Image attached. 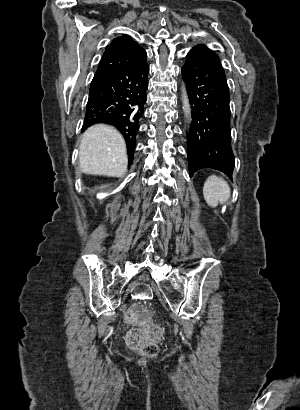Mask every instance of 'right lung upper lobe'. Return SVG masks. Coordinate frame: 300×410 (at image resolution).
<instances>
[{
  "mask_svg": "<svg viewBox=\"0 0 300 410\" xmlns=\"http://www.w3.org/2000/svg\"><path fill=\"white\" fill-rule=\"evenodd\" d=\"M146 60V51L140 47L130 36L122 35L111 41L99 63L95 75L112 71L113 69L138 64ZM134 156V151L132 154Z\"/></svg>",
  "mask_w": 300,
  "mask_h": 410,
  "instance_id": "right-lung-upper-lobe-1",
  "label": "right lung upper lobe"
}]
</instances>
